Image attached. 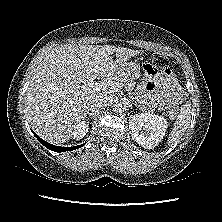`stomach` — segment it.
Returning <instances> with one entry per match:
<instances>
[{
	"label": "stomach",
	"mask_w": 222,
	"mask_h": 222,
	"mask_svg": "<svg viewBox=\"0 0 222 222\" xmlns=\"http://www.w3.org/2000/svg\"><path fill=\"white\" fill-rule=\"evenodd\" d=\"M140 65L135 62L125 63L119 72V75L126 80H136L140 78Z\"/></svg>",
	"instance_id": "0dacf381"
}]
</instances>
